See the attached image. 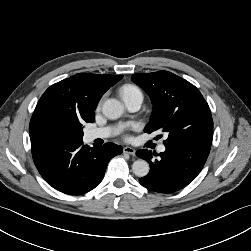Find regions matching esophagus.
<instances>
[{
    "instance_id": "esophagus-1",
    "label": "esophagus",
    "mask_w": 251,
    "mask_h": 251,
    "mask_svg": "<svg viewBox=\"0 0 251 251\" xmlns=\"http://www.w3.org/2000/svg\"><path fill=\"white\" fill-rule=\"evenodd\" d=\"M123 152L134 156L136 151L134 148L126 146L123 148Z\"/></svg>"
}]
</instances>
